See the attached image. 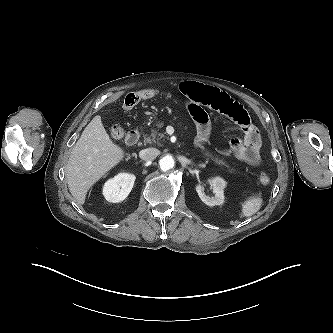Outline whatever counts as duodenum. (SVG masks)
Wrapping results in <instances>:
<instances>
[{"mask_svg": "<svg viewBox=\"0 0 333 333\" xmlns=\"http://www.w3.org/2000/svg\"><path fill=\"white\" fill-rule=\"evenodd\" d=\"M140 139V132L137 129L129 131L125 137V142L129 146L136 145Z\"/></svg>", "mask_w": 333, "mask_h": 333, "instance_id": "410a0bca", "label": "duodenum"}]
</instances>
